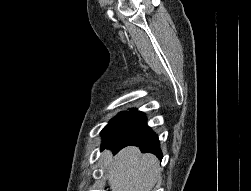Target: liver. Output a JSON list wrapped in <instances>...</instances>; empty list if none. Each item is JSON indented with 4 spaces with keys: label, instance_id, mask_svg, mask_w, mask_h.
Here are the masks:
<instances>
[{
    "label": "liver",
    "instance_id": "liver-1",
    "mask_svg": "<svg viewBox=\"0 0 251 191\" xmlns=\"http://www.w3.org/2000/svg\"><path fill=\"white\" fill-rule=\"evenodd\" d=\"M112 191H150L158 177V159L128 145L113 157L110 149L101 155Z\"/></svg>",
    "mask_w": 251,
    "mask_h": 191
}]
</instances>
